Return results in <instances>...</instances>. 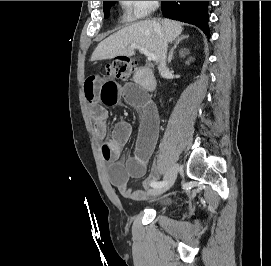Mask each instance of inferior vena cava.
<instances>
[{
  "label": "inferior vena cava",
  "instance_id": "inferior-vena-cava-1",
  "mask_svg": "<svg viewBox=\"0 0 271 266\" xmlns=\"http://www.w3.org/2000/svg\"><path fill=\"white\" fill-rule=\"evenodd\" d=\"M159 38H160V46H161V59H160V64H159L158 69L161 76H164V74L167 72L166 55H167L168 44L162 32H159Z\"/></svg>",
  "mask_w": 271,
  "mask_h": 266
}]
</instances>
